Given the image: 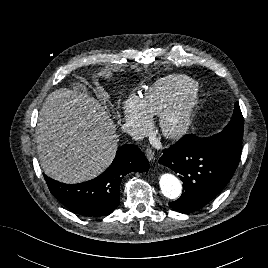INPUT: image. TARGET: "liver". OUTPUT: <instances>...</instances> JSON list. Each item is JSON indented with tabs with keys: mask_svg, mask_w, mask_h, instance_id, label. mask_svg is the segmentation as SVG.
I'll return each instance as SVG.
<instances>
[{
	"mask_svg": "<svg viewBox=\"0 0 268 268\" xmlns=\"http://www.w3.org/2000/svg\"><path fill=\"white\" fill-rule=\"evenodd\" d=\"M37 152L44 173L74 184L95 178L112 163L116 125L99 101L83 92L60 88L50 93L39 113Z\"/></svg>",
	"mask_w": 268,
	"mask_h": 268,
	"instance_id": "liver-1",
	"label": "liver"
}]
</instances>
